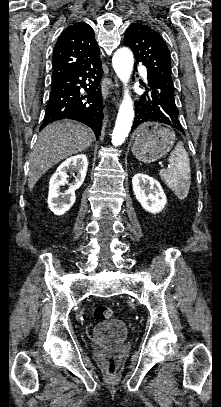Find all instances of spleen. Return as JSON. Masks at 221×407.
I'll list each match as a JSON object with an SVG mask.
<instances>
[{
  "instance_id": "1",
  "label": "spleen",
  "mask_w": 221,
  "mask_h": 407,
  "mask_svg": "<svg viewBox=\"0 0 221 407\" xmlns=\"http://www.w3.org/2000/svg\"><path fill=\"white\" fill-rule=\"evenodd\" d=\"M168 161L170 168L160 170L159 175L177 198L183 200L190 189L191 171L189 156L181 141L176 144Z\"/></svg>"
}]
</instances>
